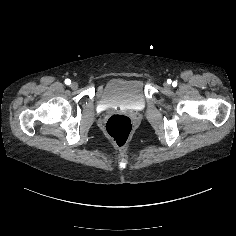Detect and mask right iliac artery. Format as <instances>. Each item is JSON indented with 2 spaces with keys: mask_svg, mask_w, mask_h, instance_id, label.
Here are the masks:
<instances>
[{
  "mask_svg": "<svg viewBox=\"0 0 236 236\" xmlns=\"http://www.w3.org/2000/svg\"><path fill=\"white\" fill-rule=\"evenodd\" d=\"M65 84H66V85H70V84H71V80H70V79H66V80H65Z\"/></svg>",
  "mask_w": 236,
  "mask_h": 236,
  "instance_id": "right-iliac-artery-1",
  "label": "right iliac artery"
}]
</instances>
